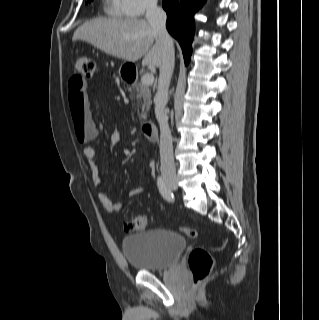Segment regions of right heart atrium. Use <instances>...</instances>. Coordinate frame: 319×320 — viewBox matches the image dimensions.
<instances>
[{"mask_svg":"<svg viewBox=\"0 0 319 320\" xmlns=\"http://www.w3.org/2000/svg\"><path fill=\"white\" fill-rule=\"evenodd\" d=\"M122 13L129 17H140L153 10L157 0H116Z\"/></svg>","mask_w":319,"mask_h":320,"instance_id":"1","label":"right heart atrium"}]
</instances>
